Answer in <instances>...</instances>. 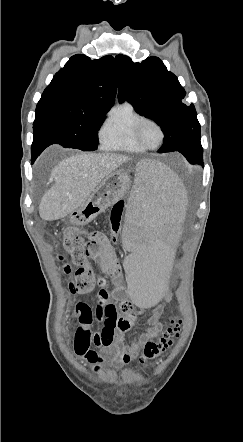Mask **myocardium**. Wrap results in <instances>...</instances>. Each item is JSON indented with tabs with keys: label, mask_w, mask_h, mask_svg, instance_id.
I'll list each match as a JSON object with an SVG mask.
<instances>
[{
	"label": "myocardium",
	"mask_w": 243,
	"mask_h": 442,
	"mask_svg": "<svg viewBox=\"0 0 243 442\" xmlns=\"http://www.w3.org/2000/svg\"><path fill=\"white\" fill-rule=\"evenodd\" d=\"M146 123L154 124L160 132V140L154 146L147 145L141 138L140 131H141L142 126ZM134 136H135L137 143L142 148H144L145 150H154L163 144V142L165 140L166 133H165L164 127L162 126V124L158 120H156L155 118H152V117L143 116L141 119H139V121L135 125Z\"/></svg>",
	"instance_id": "obj_1"
}]
</instances>
